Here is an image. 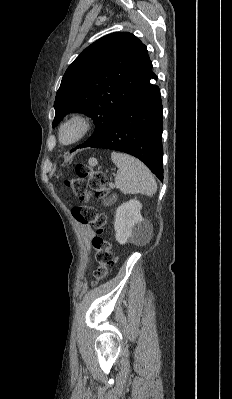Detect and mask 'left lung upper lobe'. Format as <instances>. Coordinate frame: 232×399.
Masks as SVG:
<instances>
[{"mask_svg": "<svg viewBox=\"0 0 232 399\" xmlns=\"http://www.w3.org/2000/svg\"><path fill=\"white\" fill-rule=\"evenodd\" d=\"M148 60L146 46L128 32L106 35L88 46L62 78L53 128L72 111L85 113L93 118L95 131L76 148L95 144L131 98Z\"/></svg>", "mask_w": 232, "mask_h": 399, "instance_id": "left-lung-upper-lobe-1", "label": "left lung upper lobe"}]
</instances>
